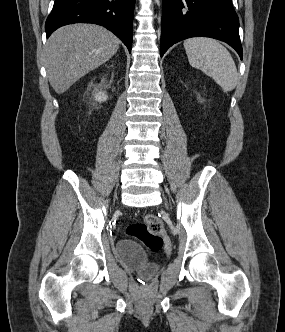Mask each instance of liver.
Instances as JSON below:
<instances>
[{"mask_svg":"<svg viewBox=\"0 0 285 332\" xmlns=\"http://www.w3.org/2000/svg\"><path fill=\"white\" fill-rule=\"evenodd\" d=\"M119 43L113 33L94 24L77 23L57 29L45 49L50 85L58 94L66 92L81 77L107 62Z\"/></svg>","mask_w":285,"mask_h":332,"instance_id":"obj_1","label":"liver"}]
</instances>
